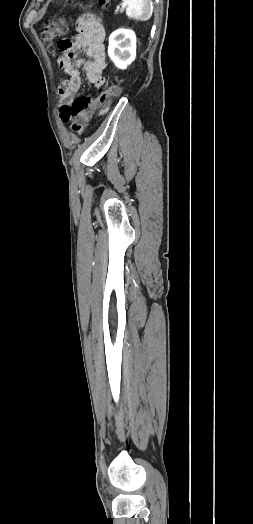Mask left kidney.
I'll return each mask as SVG.
<instances>
[{
	"mask_svg": "<svg viewBox=\"0 0 253 524\" xmlns=\"http://www.w3.org/2000/svg\"><path fill=\"white\" fill-rule=\"evenodd\" d=\"M108 55L120 69L127 68L136 57V35L127 29H118L109 37Z\"/></svg>",
	"mask_w": 253,
	"mask_h": 524,
	"instance_id": "5707ae66",
	"label": "left kidney"
}]
</instances>
